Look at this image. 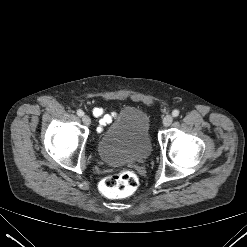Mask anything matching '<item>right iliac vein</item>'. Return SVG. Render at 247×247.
Returning <instances> with one entry per match:
<instances>
[{
	"instance_id": "right-iliac-vein-1",
	"label": "right iliac vein",
	"mask_w": 247,
	"mask_h": 247,
	"mask_svg": "<svg viewBox=\"0 0 247 247\" xmlns=\"http://www.w3.org/2000/svg\"><path fill=\"white\" fill-rule=\"evenodd\" d=\"M82 121H83V123H84L85 125H87V126H89V125L91 124V119H90V117L87 116V115H83Z\"/></svg>"
}]
</instances>
